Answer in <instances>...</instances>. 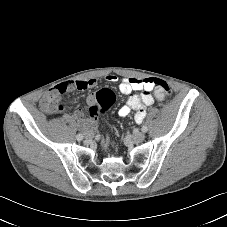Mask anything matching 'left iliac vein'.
I'll use <instances>...</instances> for the list:
<instances>
[{"label": "left iliac vein", "instance_id": "obj_1", "mask_svg": "<svg viewBox=\"0 0 227 227\" xmlns=\"http://www.w3.org/2000/svg\"><path fill=\"white\" fill-rule=\"evenodd\" d=\"M132 142L140 143L145 139V134L143 132L136 133L130 137Z\"/></svg>", "mask_w": 227, "mask_h": 227}]
</instances>
